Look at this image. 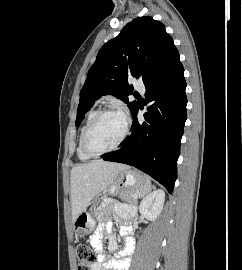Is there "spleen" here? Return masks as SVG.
I'll use <instances>...</instances> for the list:
<instances>
[{"label": "spleen", "mask_w": 242, "mask_h": 270, "mask_svg": "<svg viewBox=\"0 0 242 270\" xmlns=\"http://www.w3.org/2000/svg\"><path fill=\"white\" fill-rule=\"evenodd\" d=\"M145 179H146V183H145V186L143 187V189L141 191L142 196L148 194L150 192V188L152 187L150 179L148 177H145Z\"/></svg>", "instance_id": "obj_1"}]
</instances>
